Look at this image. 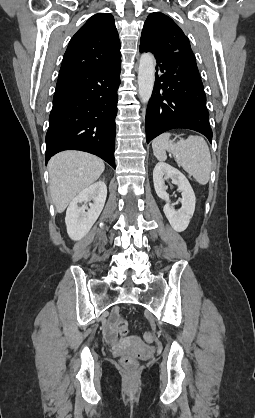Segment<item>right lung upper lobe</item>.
Listing matches in <instances>:
<instances>
[{
	"label": "right lung upper lobe",
	"instance_id": "right-lung-upper-lobe-1",
	"mask_svg": "<svg viewBox=\"0 0 255 418\" xmlns=\"http://www.w3.org/2000/svg\"><path fill=\"white\" fill-rule=\"evenodd\" d=\"M120 61V41L114 17L97 13L71 38L59 76L110 66Z\"/></svg>",
	"mask_w": 255,
	"mask_h": 418
}]
</instances>
